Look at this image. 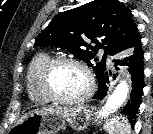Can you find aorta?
<instances>
[{
    "mask_svg": "<svg viewBox=\"0 0 153 134\" xmlns=\"http://www.w3.org/2000/svg\"><path fill=\"white\" fill-rule=\"evenodd\" d=\"M129 93V85L126 80H121L115 87L112 94L108 97L105 106L100 111V117H106L115 112L125 102Z\"/></svg>",
    "mask_w": 153,
    "mask_h": 134,
    "instance_id": "762f6f07",
    "label": "aorta"
}]
</instances>
